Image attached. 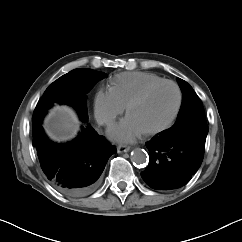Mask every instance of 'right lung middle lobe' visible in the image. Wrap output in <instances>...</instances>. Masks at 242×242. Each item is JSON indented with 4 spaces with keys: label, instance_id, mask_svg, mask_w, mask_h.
<instances>
[{
    "label": "right lung middle lobe",
    "instance_id": "obj_1",
    "mask_svg": "<svg viewBox=\"0 0 242 242\" xmlns=\"http://www.w3.org/2000/svg\"><path fill=\"white\" fill-rule=\"evenodd\" d=\"M102 78V72L87 68L74 69L61 76L46 89L39 100L33 114V124L42 122L47 110L55 102L72 105L80 119L85 121L88 118L86 94Z\"/></svg>",
    "mask_w": 242,
    "mask_h": 242
}]
</instances>
